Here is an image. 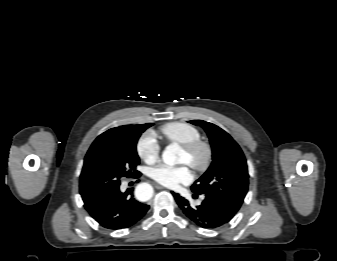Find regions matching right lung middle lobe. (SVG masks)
<instances>
[{
	"instance_id": "right-lung-middle-lobe-1",
	"label": "right lung middle lobe",
	"mask_w": 337,
	"mask_h": 261,
	"mask_svg": "<svg viewBox=\"0 0 337 261\" xmlns=\"http://www.w3.org/2000/svg\"><path fill=\"white\" fill-rule=\"evenodd\" d=\"M152 126L129 125L108 130L96 138L89 148L80 175V194L83 201L118 186L123 177L138 175L139 157L136 144L142 132Z\"/></svg>"
}]
</instances>
